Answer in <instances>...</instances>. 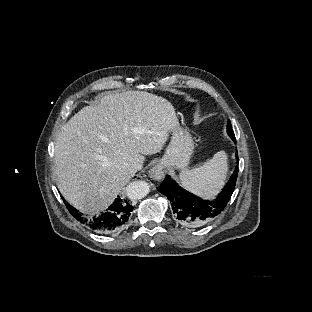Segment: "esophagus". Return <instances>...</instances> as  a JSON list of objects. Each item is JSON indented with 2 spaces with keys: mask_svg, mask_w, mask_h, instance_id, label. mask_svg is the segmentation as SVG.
I'll return each instance as SVG.
<instances>
[{
  "mask_svg": "<svg viewBox=\"0 0 312 312\" xmlns=\"http://www.w3.org/2000/svg\"><path fill=\"white\" fill-rule=\"evenodd\" d=\"M149 177L156 181H160L164 178V173L159 166H155L149 170Z\"/></svg>",
  "mask_w": 312,
  "mask_h": 312,
  "instance_id": "1",
  "label": "esophagus"
}]
</instances>
